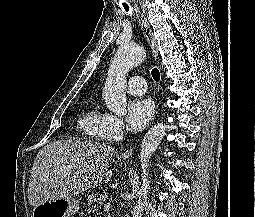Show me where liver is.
I'll list each match as a JSON object with an SVG mask.
<instances>
[{
  "label": "liver",
  "instance_id": "obj_1",
  "mask_svg": "<svg viewBox=\"0 0 255 217\" xmlns=\"http://www.w3.org/2000/svg\"><path fill=\"white\" fill-rule=\"evenodd\" d=\"M113 149L86 138L52 142L37 154L28 185V200L35 207L57 198L107 183L113 176L109 161Z\"/></svg>",
  "mask_w": 255,
  "mask_h": 217
}]
</instances>
